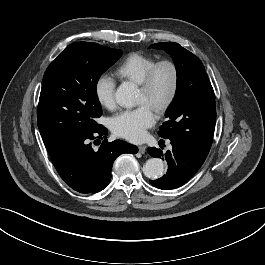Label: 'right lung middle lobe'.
Segmentation results:
<instances>
[{
	"label": "right lung middle lobe",
	"instance_id": "dd1d6c3e",
	"mask_svg": "<svg viewBox=\"0 0 265 265\" xmlns=\"http://www.w3.org/2000/svg\"><path fill=\"white\" fill-rule=\"evenodd\" d=\"M122 55L97 43L70 44L48 66L37 121L46 147L92 132L102 114L96 87L100 76Z\"/></svg>",
	"mask_w": 265,
	"mask_h": 265
}]
</instances>
